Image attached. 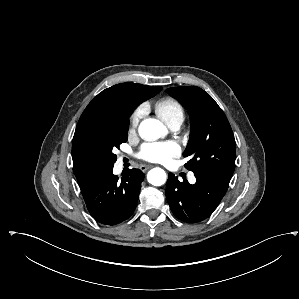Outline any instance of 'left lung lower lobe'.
Here are the masks:
<instances>
[{
	"instance_id": "obj_1",
	"label": "left lung lower lobe",
	"mask_w": 299,
	"mask_h": 299,
	"mask_svg": "<svg viewBox=\"0 0 299 299\" xmlns=\"http://www.w3.org/2000/svg\"><path fill=\"white\" fill-rule=\"evenodd\" d=\"M196 183L169 173L166 183V198L173 214L182 221L197 223L205 220L216 209L225 195L229 181L209 172H194Z\"/></svg>"
}]
</instances>
